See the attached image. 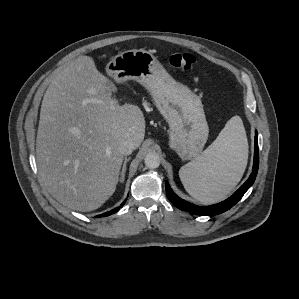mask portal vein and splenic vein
I'll return each instance as SVG.
<instances>
[{
	"label": "portal vein and splenic vein",
	"mask_w": 299,
	"mask_h": 299,
	"mask_svg": "<svg viewBox=\"0 0 299 299\" xmlns=\"http://www.w3.org/2000/svg\"><path fill=\"white\" fill-rule=\"evenodd\" d=\"M85 102L89 103V102H92V103H101V101L97 100V99H87Z\"/></svg>",
	"instance_id": "1"
}]
</instances>
